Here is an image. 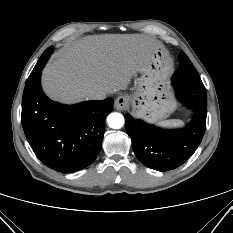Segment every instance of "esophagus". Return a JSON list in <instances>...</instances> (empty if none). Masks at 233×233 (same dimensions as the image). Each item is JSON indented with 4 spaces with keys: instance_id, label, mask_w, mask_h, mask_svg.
I'll return each instance as SVG.
<instances>
[{
    "instance_id": "34e87169",
    "label": "esophagus",
    "mask_w": 233,
    "mask_h": 233,
    "mask_svg": "<svg viewBox=\"0 0 233 233\" xmlns=\"http://www.w3.org/2000/svg\"><path fill=\"white\" fill-rule=\"evenodd\" d=\"M129 105V98L126 96H119L116 98L115 102H114V107L117 110H124L125 108H127Z\"/></svg>"
}]
</instances>
